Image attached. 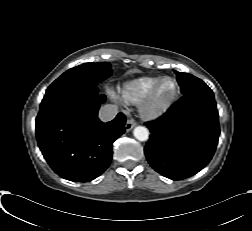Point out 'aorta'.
I'll return each mask as SVG.
<instances>
[{
  "mask_svg": "<svg viewBox=\"0 0 252 231\" xmlns=\"http://www.w3.org/2000/svg\"><path fill=\"white\" fill-rule=\"evenodd\" d=\"M133 135L139 141H147L149 139V130L144 126H137L133 130Z\"/></svg>",
  "mask_w": 252,
  "mask_h": 231,
  "instance_id": "aorta-1",
  "label": "aorta"
}]
</instances>
